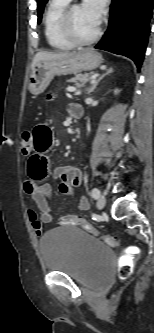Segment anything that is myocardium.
<instances>
[{
  "mask_svg": "<svg viewBox=\"0 0 154 333\" xmlns=\"http://www.w3.org/2000/svg\"><path fill=\"white\" fill-rule=\"evenodd\" d=\"M77 6H79L78 3H71L65 7V9L63 10L62 15L60 17V30H61L63 36L68 41L73 43L74 45L83 46V45L92 44L95 41H97L99 39V37L101 36L102 27L99 25L97 31L89 38L84 39V38L79 37L74 32V29L72 26V19H71L72 11Z\"/></svg>",
  "mask_w": 154,
  "mask_h": 333,
  "instance_id": "f54148a6",
  "label": "myocardium"
}]
</instances>
